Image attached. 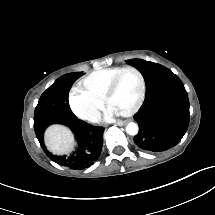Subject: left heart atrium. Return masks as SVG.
<instances>
[{
    "label": "left heart atrium",
    "instance_id": "left-heart-atrium-1",
    "mask_svg": "<svg viewBox=\"0 0 215 215\" xmlns=\"http://www.w3.org/2000/svg\"><path fill=\"white\" fill-rule=\"evenodd\" d=\"M114 114H112L106 107L103 109L102 116L104 119H108L112 117Z\"/></svg>",
    "mask_w": 215,
    "mask_h": 215
}]
</instances>
